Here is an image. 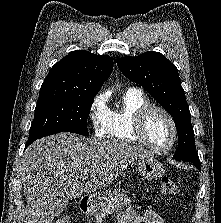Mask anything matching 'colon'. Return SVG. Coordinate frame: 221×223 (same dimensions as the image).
I'll return each instance as SVG.
<instances>
[{
  "mask_svg": "<svg viewBox=\"0 0 221 223\" xmlns=\"http://www.w3.org/2000/svg\"><path fill=\"white\" fill-rule=\"evenodd\" d=\"M159 194L164 198H172L178 194V186L169 177H163L159 185ZM55 223H70L68 217H60Z\"/></svg>",
  "mask_w": 221,
  "mask_h": 223,
  "instance_id": "colon-1",
  "label": "colon"
}]
</instances>
